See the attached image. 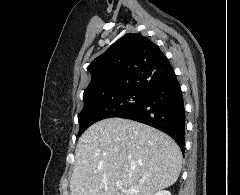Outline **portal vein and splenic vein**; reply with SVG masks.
Listing matches in <instances>:
<instances>
[{"mask_svg": "<svg viewBox=\"0 0 240 195\" xmlns=\"http://www.w3.org/2000/svg\"><path fill=\"white\" fill-rule=\"evenodd\" d=\"M117 189H123V191H127V193H136V189H124L123 183L121 181H116Z\"/></svg>", "mask_w": 240, "mask_h": 195, "instance_id": "obj_1", "label": "portal vein and splenic vein"}]
</instances>
